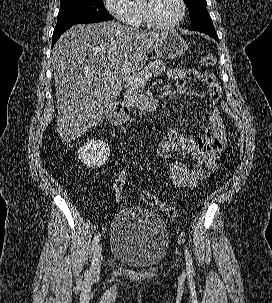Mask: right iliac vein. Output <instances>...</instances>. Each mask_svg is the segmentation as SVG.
I'll return each instance as SVG.
<instances>
[{
  "mask_svg": "<svg viewBox=\"0 0 272 303\" xmlns=\"http://www.w3.org/2000/svg\"><path fill=\"white\" fill-rule=\"evenodd\" d=\"M102 245L98 244L94 250L91 268L89 272V279L94 280L96 279L100 274L101 269V260H102Z\"/></svg>",
  "mask_w": 272,
  "mask_h": 303,
  "instance_id": "63e3f726",
  "label": "right iliac vein"
}]
</instances>
